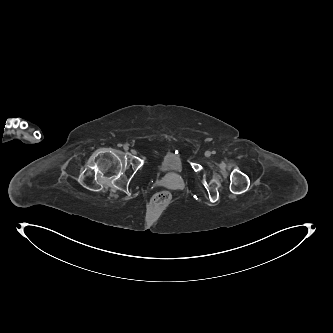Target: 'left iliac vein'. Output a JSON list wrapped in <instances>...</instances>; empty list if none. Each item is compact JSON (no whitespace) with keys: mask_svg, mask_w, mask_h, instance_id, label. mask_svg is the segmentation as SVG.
Wrapping results in <instances>:
<instances>
[{"mask_svg":"<svg viewBox=\"0 0 333 333\" xmlns=\"http://www.w3.org/2000/svg\"><path fill=\"white\" fill-rule=\"evenodd\" d=\"M210 155H211V152H210V151H206V152H205V156H206V157H210Z\"/></svg>","mask_w":333,"mask_h":333,"instance_id":"1","label":"left iliac vein"}]
</instances>
